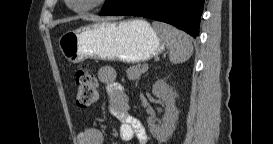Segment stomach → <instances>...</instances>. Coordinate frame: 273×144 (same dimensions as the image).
I'll return each instance as SVG.
<instances>
[{"label": "stomach", "instance_id": "1", "mask_svg": "<svg viewBox=\"0 0 273 144\" xmlns=\"http://www.w3.org/2000/svg\"><path fill=\"white\" fill-rule=\"evenodd\" d=\"M165 46L159 33L142 19L93 23L59 38L63 56L72 63L88 58L141 63L162 53Z\"/></svg>", "mask_w": 273, "mask_h": 144}]
</instances>
